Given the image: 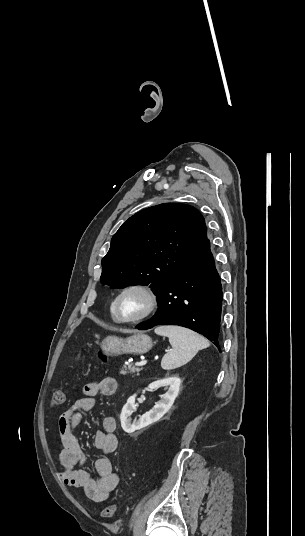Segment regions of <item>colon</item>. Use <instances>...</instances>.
Returning a JSON list of instances; mask_svg holds the SVG:
<instances>
[{
	"label": "colon",
	"instance_id": "5ec220e1",
	"mask_svg": "<svg viewBox=\"0 0 305 536\" xmlns=\"http://www.w3.org/2000/svg\"><path fill=\"white\" fill-rule=\"evenodd\" d=\"M98 357L103 362L107 360V356L102 351H98ZM66 401H67V394H66V392L64 390H56L53 393V395H52V404L54 406H62V405H64L66 403ZM115 508H116L115 504L106 506L100 512V516L102 518L111 517L114 514Z\"/></svg>",
	"mask_w": 305,
	"mask_h": 536
}]
</instances>
